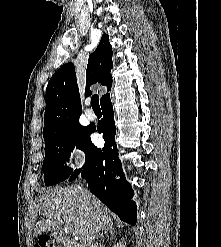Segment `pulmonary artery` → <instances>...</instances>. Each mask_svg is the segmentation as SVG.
Instances as JSON below:
<instances>
[{"label": "pulmonary artery", "instance_id": "obj_1", "mask_svg": "<svg viewBox=\"0 0 221 247\" xmlns=\"http://www.w3.org/2000/svg\"><path fill=\"white\" fill-rule=\"evenodd\" d=\"M85 115L89 120H94L96 118L95 113L91 109H87Z\"/></svg>", "mask_w": 221, "mask_h": 247}]
</instances>
